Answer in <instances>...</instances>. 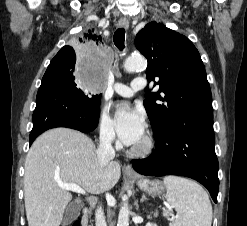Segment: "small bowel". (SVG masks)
Returning a JSON list of instances; mask_svg holds the SVG:
<instances>
[{
  "instance_id": "obj_1",
  "label": "small bowel",
  "mask_w": 247,
  "mask_h": 226,
  "mask_svg": "<svg viewBox=\"0 0 247 226\" xmlns=\"http://www.w3.org/2000/svg\"><path fill=\"white\" fill-rule=\"evenodd\" d=\"M148 226H156V225H153V224H149Z\"/></svg>"
}]
</instances>
